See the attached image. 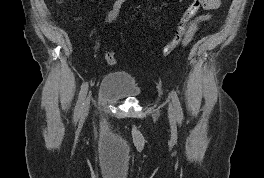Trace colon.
Instances as JSON below:
<instances>
[{"label": "colon", "instance_id": "obj_1", "mask_svg": "<svg viewBox=\"0 0 264 178\" xmlns=\"http://www.w3.org/2000/svg\"><path fill=\"white\" fill-rule=\"evenodd\" d=\"M207 4V0H191L178 20L173 38L164 46L162 55L167 56L179 46H184L190 42L196 31L194 19L197 16L199 10L201 8L204 9ZM105 61L109 65H114L117 62L115 53L111 51L107 52L105 54Z\"/></svg>", "mask_w": 264, "mask_h": 178}]
</instances>
